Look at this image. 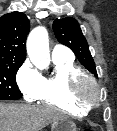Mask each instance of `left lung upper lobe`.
<instances>
[{
	"label": "left lung upper lobe",
	"mask_w": 117,
	"mask_h": 131,
	"mask_svg": "<svg viewBox=\"0 0 117 131\" xmlns=\"http://www.w3.org/2000/svg\"><path fill=\"white\" fill-rule=\"evenodd\" d=\"M53 30L58 41L69 47L75 53L80 63L97 76L94 60L78 22L71 17L55 19Z\"/></svg>",
	"instance_id": "left-lung-upper-lobe-1"
}]
</instances>
